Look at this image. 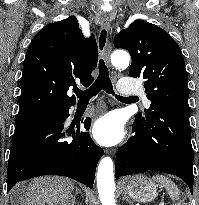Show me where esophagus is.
<instances>
[{"instance_id":"esophagus-1","label":"esophagus","mask_w":199,"mask_h":205,"mask_svg":"<svg viewBox=\"0 0 199 205\" xmlns=\"http://www.w3.org/2000/svg\"><path fill=\"white\" fill-rule=\"evenodd\" d=\"M101 27L103 29H106V30H109L110 29V19L108 17H103L101 19ZM103 57L105 59V61L107 63H109V57H110V43L107 41L106 43V46H105V49H104V52H103ZM105 152L107 154H110V155H115L116 153V149L114 148H110V149H106Z\"/></svg>"}]
</instances>
